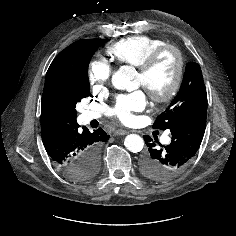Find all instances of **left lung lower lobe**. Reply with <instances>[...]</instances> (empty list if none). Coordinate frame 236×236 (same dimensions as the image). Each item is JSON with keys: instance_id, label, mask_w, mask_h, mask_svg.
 <instances>
[{"instance_id": "1", "label": "left lung lower lobe", "mask_w": 236, "mask_h": 236, "mask_svg": "<svg viewBox=\"0 0 236 236\" xmlns=\"http://www.w3.org/2000/svg\"><path fill=\"white\" fill-rule=\"evenodd\" d=\"M207 110L190 113L169 129L172 141L162 146L144 136L148 151L141 159L142 174L154 181H168L181 173L191 162L203 139ZM156 142L161 146H156Z\"/></svg>"}]
</instances>
